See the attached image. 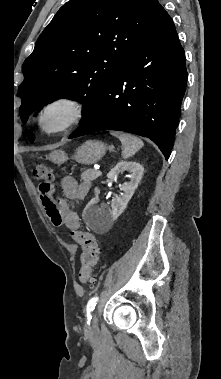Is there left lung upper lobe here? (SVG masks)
<instances>
[{
	"instance_id": "obj_1",
	"label": "left lung upper lobe",
	"mask_w": 221,
	"mask_h": 379,
	"mask_svg": "<svg viewBox=\"0 0 221 379\" xmlns=\"http://www.w3.org/2000/svg\"><path fill=\"white\" fill-rule=\"evenodd\" d=\"M157 0H70L39 36L23 63L18 88L26 123L37 108L59 98L83 104L82 120L96 96L158 23ZM30 142L35 139L27 131Z\"/></svg>"
}]
</instances>
